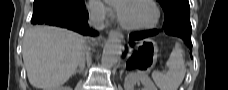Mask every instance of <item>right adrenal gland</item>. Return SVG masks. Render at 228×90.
I'll use <instances>...</instances> for the list:
<instances>
[{
  "mask_svg": "<svg viewBox=\"0 0 228 90\" xmlns=\"http://www.w3.org/2000/svg\"><path fill=\"white\" fill-rule=\"evenodd\" d=\"M83 70H84V67H81L78 70H75L72 75H76L77 73L82 74Z\"/></svg>",
  "mask_w": 228,
  "mask_h": 90,
  "instance_id": "1",
  "label": "right adrenal gland"
}]
</instances>
